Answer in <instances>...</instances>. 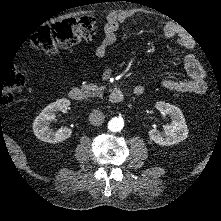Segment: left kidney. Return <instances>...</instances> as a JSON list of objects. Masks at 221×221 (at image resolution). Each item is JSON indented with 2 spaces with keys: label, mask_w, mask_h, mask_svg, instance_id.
Listing matches in <instances>:
<instances>
[{
  "label": "left kidney",
  "mask_w": 221,
  "mask_h": 221,
  "mask_svg": "<svg viewBox=\"0 0 221 221\" xmlns=\"http://www.w3.org/2000/svg\"><path fill=\"white\" fill-rule=\"evenodd\" d=\"M154 107L164 116H170L172 122L164 125L162 131L157 128L151 129L150 138L164 146L184 140L188 135V127L181 109L165 101H157Z\"/></svg>",
  "instance_id": "1"
}]
</instances>
